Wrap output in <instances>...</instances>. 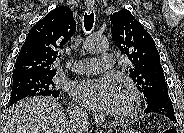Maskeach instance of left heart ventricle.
I'll use <instances>...</instances> for the list:
<instances>
[{
    "label": "left heart ventricle",
    "mask_w": 184,
    "mask_h": 133,
    "mask_svg": "<svg viewBox=\"0 0 184 133\" xmlns=\"http://www.w3.org/2000/svg\"><path fill=\"white\" fill-rule=\"evenodd\" d=\"M125 108V100L122 97V95L119 93L118 99L114 105V107L112 108V110L110 111L112 114L115 113H119L121 112L123 109Z\"/></svg>",
    "instance_id": "obj_1"
}]
</instances>
